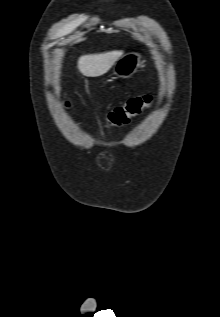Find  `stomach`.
Segmentation results:
<instances>
[{"label": "stomach", "mask_w": 220, "mask_h": 317, "mask_svg": "<svg viewBox=\"0 0 220 317\" xmlns=\"http://www.w3.org/2000/svg\"><path fill=\"white\" fill-rule=\"evenodd\" d=\"M141 64V55L138 52L126 53L114 64L113 74L121 78H130Z\"/></svg>", "instance_id": "stomach-1"}]
</instances>
